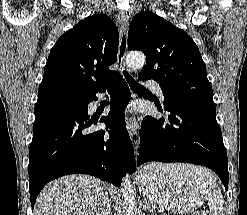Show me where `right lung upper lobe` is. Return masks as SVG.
Returning <instances> with one entry per match:
<instances>
[{"label": "right lung upper lobe", "mask_w": 247, "mask_h": 215, "mask_svg": "<svg viewBox=\"0 0 247 215\" xmlns=\"http://www.w3.org/2000/svg\"><path fill=\"white\" fill-rule=\"evenodd\" d=\"M119 34L103 14L80 21L52 47L40 86L77 94L97 91L118 73L109 70L116 62Z\"/></svg>", "instance_id": "1"}]
</instances>
